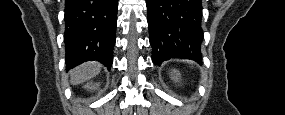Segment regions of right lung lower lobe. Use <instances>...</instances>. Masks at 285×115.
<instances>
[{
  "mask_svg": "<svg viewBox=\"0 0 285 115\" xmlns=\"http://www.w3.org/2000/svg\"><path fill=\"white\" fill-rule=\"evenodd\" d=\"M118 0H66V69L99 61L110 70L116 42Z\"/></svg>",
  "mask_w": 285,
  "mask_h": 115,
  "instance_id": "1",
  "label": "right lung lower lobe"
}]
</instances>
